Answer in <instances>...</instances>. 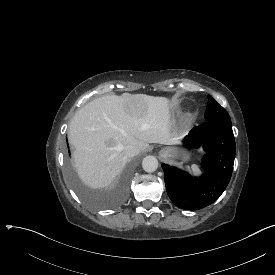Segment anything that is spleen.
Wrapping results in <instances>:
<instances>
[{
	"mask_svg": "<svg viewBox=\"0 0 275 275\" xmlns=\"http://www.w3.org/2000/svg\"><path fill=\"white\" fill-rule=\"evenodd\" d=\"M186 171L194 178H200L202 176L201 167L198 164H192L191 166H185Z\"/></svg>",
	"mask_w": 275,
	"mask_h": 275,
	"instance_id": "obj_1",
	"label": "spleen"
}]
</instances>
